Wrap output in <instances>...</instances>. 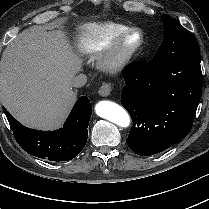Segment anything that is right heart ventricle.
<instances>
[{"mask_svg": "<svg viewBox=\"0 0 209 209\" xmlns=\"http://www.w3.org/2000/svg\"><path fill=\"white\" fill-rule=\"evenodd\" d=\"M130 27L128 24L114 21L84 24L75 34V46L84 55L97 53L103 50L114 34Z\"/></svg>", "mask_w": 209, "mask_h": 209, "instance_id": "e07e8e85", "label": "right heart ventricle"}]
</instances>
